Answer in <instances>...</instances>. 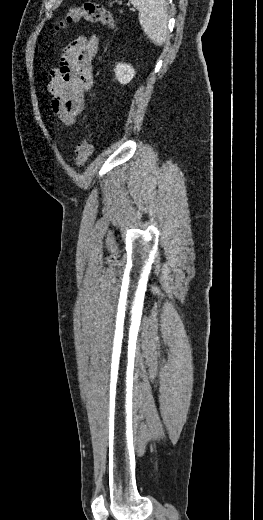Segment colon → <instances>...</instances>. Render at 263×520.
I'll return each mask as SVG.
<instances>
[{"mask_svg": "<svg viewBox=\"0 0 263 520\" xmlns=\"http://www.w3.org/2000/svg\"><path fill=\"white\" fill-rule=\"evenodd\" d=\"M85 20L88 23L101 25L110 29L117 26L118 18L106 10L102 5L94 2H86L81 6L70 7L63 17L55 24L53 32L64 28L67 24ZM93 153L91 137L85 135L76 146L74 163L83 166Z\"/></svg>", "mask_w": 263, "mask_h": 520, "instance_id": "5ec220e1", "label": "colon"}]
</instances>
